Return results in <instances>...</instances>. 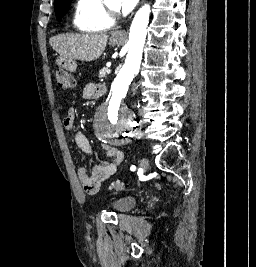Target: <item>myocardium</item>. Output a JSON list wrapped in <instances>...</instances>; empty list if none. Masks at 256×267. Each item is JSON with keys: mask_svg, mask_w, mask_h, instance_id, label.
Wrapping results in <instances>:
<instances>
[{"mask_svg": "<svg viewBox=\"0 0 256 267\" xmlns=\"http://www.w3.org/2000/svg\"><path fill=\"white\" fill-rule=\"evenodd\" d=\"M111 1H113V0H106V11L104 13V19H103L102 25L107 23V22H109V21L113 22V25L115 23V19H116V16H117V6H116L115 2H114L115 3L114 6H111L110 5ZM101 30L104 31V32H107L110 29L109 30H103L101 28Z\"/></svg>", "mask_w": 256, "mask_h": 267, "instance_id": "obj_1", "label": "myocardium"}]
</instances>
